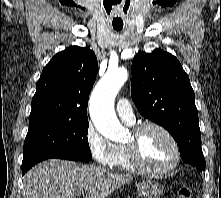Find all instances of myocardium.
Masks as SVG:
<instances>
[{"instance_id":"1","label":"myocardium","mask_w":221,"mask_h":198,"mask_svg":"<svg viewBox=\"0 0 221 198\" xmlns=\"http://www.w3.org/2000/svg\"><path fill=\"white\" fill-rule=\"evenodd\" d=\"M150 128L161 131L170 140L173 146L174 158L172 162L164 168L148 167L140 159L138 151V140L141 134ZM125 147L127 150L128 158L131 164L133 165V167L136 170L149 175H154V176L165 175L173 171L178 166L181 160V149L177 139L171 133L170 130H168L165 126L156 122H145L135 126L131 131V140L125 144Z\"/></svg>"}]
</instances>
